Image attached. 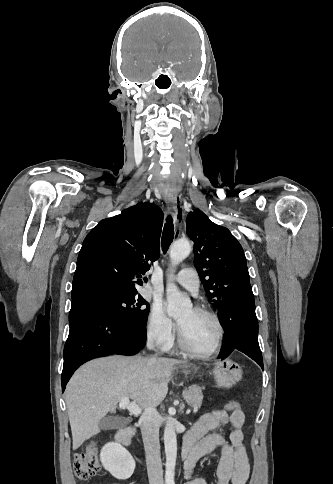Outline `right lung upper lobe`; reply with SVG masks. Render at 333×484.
<instances>
[{
  "mask_svg": "<svg viewBox=\"0 0 333 484\" xmlns=\"http://www.w3.org/2000/svg\"><path fill=\"white\" fill-rule=\"evenodd\" d=\"M162 225V210L150 203L101 220L83 241L72 298L101 290L137 293L135 284L142 285V274L159 258Z\"/></svg>",
  "mask_w": 333,
  "mask_h": 484,
  "instance_id": "1",
  "label": "right lung upper lobe"
}]
</instances>
